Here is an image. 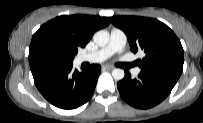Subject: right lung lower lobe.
I'll return each instance as SVG.
<instances>
[{
  "label": "right lung lower lobe",
  "mask_w": 203,
  "mask_h": 123,
  "mask_svg": "<svg viewBox=\"0 0 203 123\" xmlns=\"http://www.w3.org/2000/svg\"><path fill=\"white\" fill-rule=\"evenodd\" d=\"M34 82L40 93L54 106L74 109L92 96L101 73L100 65L73 70V63L40 64L31 67Z\"/></svg>",
  "instance_id": "right-lung-lower-lobe-1"
}]
</instances>
